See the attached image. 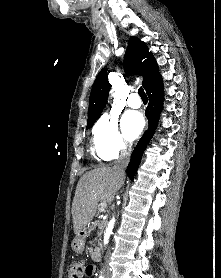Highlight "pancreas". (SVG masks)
<instances>
[{
    "mask_svg": "<svg viewBox=\"0 0 221 278\" xmlns=\"http://www.w3.org/2000/svg\"><path fill=\"white\" fill-rule=\"evenodd\" d=\"M103 225V222H99L97 219L94 222H91V227H95L100 234L103 232Z\"/></svg>",
    "mask_w": 221,
    "mask_h": 278,
    "instance_id": "1",
    "label": "pancreas"
}]
</instances>
